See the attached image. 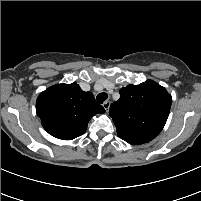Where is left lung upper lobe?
Returning <instances> with one entry per match:
<instances>
[{
  "label": "left lung upper lobe",
  "instance_id": "5c2ea615",
  "mask_svg": "<svg viewBox=\"0 0 201 201\" xmlns=\"http://www.w3.org/2000/svg\"><path fill=\"white\" fill-rule=\"evenodd\" d=\"M172 98L164 87L152 80L120 89V99L111 104L118 136L126 142H150L163 129Z\"/></svg>",
  "mask_w": 201,
  "mask_h": 201
}]
</instances>
